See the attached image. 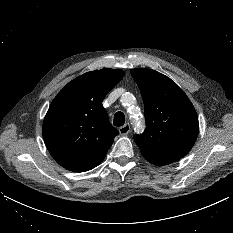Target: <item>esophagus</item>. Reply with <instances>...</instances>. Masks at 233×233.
Segmentation results:
<instances>
[{
	"mask_svg": "<svg viewBox=\"0 0 233 233\" xmlns=\"http://www.w3.org/2000/svg\"><path fill=\"white\" fill-rule=\"evenodd\" d=\"M119 132L121 135H127L130 132V124L127 123L124 126L120 127Z\"/></svg>",
	"mask_w": 233,
	"mask_h": 233,
	"instance_id": "esophagus-1",
	"label": "esophagus"
}]
</instances>
